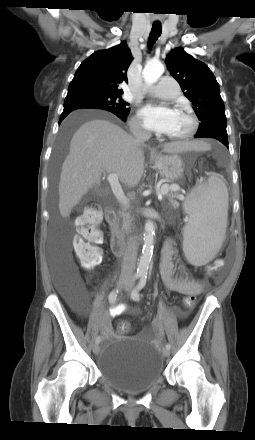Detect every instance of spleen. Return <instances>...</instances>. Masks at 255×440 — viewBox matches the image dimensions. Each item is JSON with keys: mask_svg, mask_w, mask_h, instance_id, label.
I'll list each match as a JSON object with an SVG mask.
<instances>
[{"mask_svg": "<svg viewBox=\"0 0 255 440\" xmlns=\"http://www.w3.org/2000/svg\"><path fill=\"white\" fill-rule=\"evenodd\" d=\"M189 223L183 229V250L194 265H204L220 249L227 227L228 191L225 183L211 176L195 187L184 202Z\"/></svg>", "mask_w": 255, "mask_h": 440, "instance_id": "3e777b00", "label": "spleen"}]
</instances>
